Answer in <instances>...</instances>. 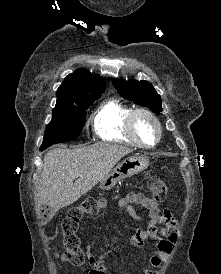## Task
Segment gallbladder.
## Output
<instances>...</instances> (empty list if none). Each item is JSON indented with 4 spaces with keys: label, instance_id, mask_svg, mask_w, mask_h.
Instances as JSON below:
<instances>
[{
    "label": "gallbladder",
    "instance_id": "1",
    "mask_svg": "<svg viewBox=\"0 0 221 274\" xmlns=\"http://www.w3.org/2000/svg\"><path fill=\"white\" fill-rule=\"evenodd\" d=\"M53 215H54V211L48 214L49 218L52 217Z\"/></svg>",
    "mask_w": 221,
    "mask_h": 274
}]
</instances>
